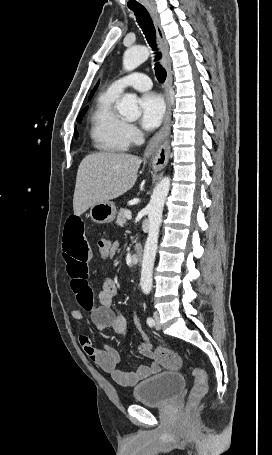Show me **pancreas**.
I'll use <instances>...</instances> for the list:
<instances>
[{"instance_id": "1", "label": "pancreas", "mask_w": 272, "mask_h": 455, "mask_svg": "<svg viewBox=\"0 0 272 455\" xmlns=\"http://www.w3.org/2000/svg\"><path fill=\"white\" fill-rule=\"evenodd\" d=\"M128 210L127 209H120V211L118 212V216H117V220H116V224L118 226H124L126 224V221H127V218H126V212Z\"/></svg>"}]
</instances>
